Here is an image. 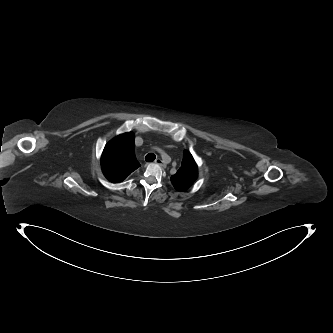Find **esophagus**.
<instances>
[{"label": "esophagus", "instance_id": "esophagus-1", "mask_svg": "<svg viewBox=\"0 0 333 333\" xmlns=\"http://www.w3.org/2000/svg\"><path fill=\"white\" fill-rule=\"evenodd\" d=\"M155 164H157V165H161V166H164V165H165V163L162 161L161 158H156V160H155Z\"/></svg>", "mask_w": 333, "mask_h": 333}]
</instances>
